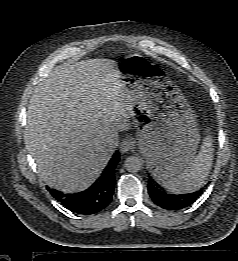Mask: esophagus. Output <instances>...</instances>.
Listing matches in <instances>:
<instances>
[{"label":"esophagus","instance_id":"obj_1","mask_svg":"<svg viewBox=\"0 0 238 261\" xmlns=\"http://www.w3.org/2000/svg\"><path fill=\"white\" fill-rule=\"evenodd\" d=\"M135 147V141L134 139L132 138H128V139H125L121 146H120V150L123 152V153H126L132 149H134Z\"/></svg>","mask_w":238,"mask_h":261}]
</instances>
